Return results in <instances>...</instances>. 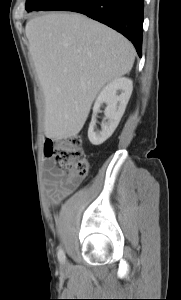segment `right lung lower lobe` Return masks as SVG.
Wrapping results in <instances>:
<instances>
[{
    "label": "right lung lower lobe",
    "mask_w": 181,
    "mask_h": 300,
    "mask_svg": "<svg viewBox=\"0 0 181 300\" xmlns=\"http://www.w3.org/2000/svg\"><path fill=\"white\" fill-rule=\"evenodd\" d=\"M43 10L85 14L123 34L142 55L143 0H55Z\"/></svg>",
    "instance_id": "98d812e1"
}]
</instances>
